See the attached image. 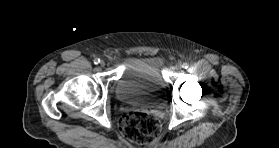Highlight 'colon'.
<instances>
[{
	"label": "colon",
	"mask_w": 279,
	"mask_h": 148,
	"mask_svg": "<svg viewBox=\"0 0 279 148\" xmlns=\"http://www.w3.org/2000/svg\"><path fill=\"white\" fill-rule=\"evenodd\" d=\"M119 126L125 137L138 144L153 142L161 131L157 117L140 111L125 113L120 119Z\"/></svg>",
	"instance_id": "colon-1"
}]
</instances>
